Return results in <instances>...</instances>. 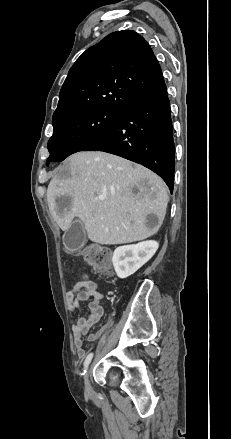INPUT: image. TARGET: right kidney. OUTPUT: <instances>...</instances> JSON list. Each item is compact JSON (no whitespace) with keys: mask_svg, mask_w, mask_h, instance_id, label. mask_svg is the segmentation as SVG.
Returning <instances> with one entry per match:
<instances>
[{"mask_svg":"<svg viewBox=\"0 0 231 439\" xmlns=\"http://www.w3.org/2000/svg\"><path fill=\"white\" fill-rule=\"evenodd\" d=\"M158 246V242L149 240L116 248L112 262L117 276L124 279L134 274L152 258Z\"/></svg>","mask_w":231,"mask_h":439,"instance_id":"ca27d5eb","label":"right kidney"}]
</instances>
